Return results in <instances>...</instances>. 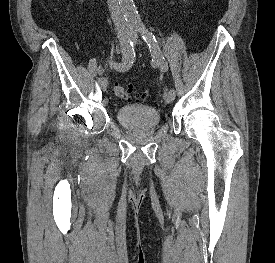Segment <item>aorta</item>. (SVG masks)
I'll return each mask as SVG.
<instances>
[{
    "label": "aorta",
    "mask_w": 275,
    "mask_h": 263,
    "mask_svg": "<svg viewBox=\"0 0 275 263\" xmlns=\"http://www.w3.org/2000/svg\"><path fill=\"white\" fill-rule=\"evenodd\" d=\"M119 6L130 27L136 29L143 28V23L133 0H119Z\"/></svg>",
    "instance_id": "aorta-1"
}]
</instances>
